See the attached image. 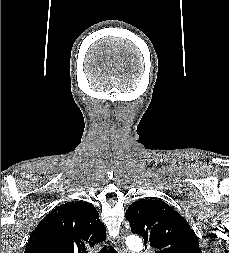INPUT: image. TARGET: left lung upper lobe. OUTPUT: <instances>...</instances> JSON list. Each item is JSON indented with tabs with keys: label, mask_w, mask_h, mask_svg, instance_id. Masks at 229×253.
Here are the masks:
<instances>
[{
	"label": "left lung upper lobe",
	"mask_w": 229,
	"mask_h": 253,
	"mask_svg": "<svg viewBox=\"0 0 229 253\" xmlns=\"http://www.w3.org/2000/svg\"><path fill=\"white\" fill-rule=\"evenodd\" d=\"M132 233L144 238L155 253H202L188 222L161 200L141 199L126 211Z\"/></svg>",
	"instance_id": "1"
}]
</instances>
